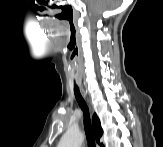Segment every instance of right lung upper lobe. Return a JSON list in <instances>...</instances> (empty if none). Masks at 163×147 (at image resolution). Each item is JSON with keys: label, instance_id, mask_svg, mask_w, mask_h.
<instances>
[{"label": "right lung upper lobe", "instance_id": "right-lung-upper-lobe-1", "mask_svg": "<svg viewBox=\"0 0 163 147\" xmlns=\"http://www.w3.org/2000/svg\"><path fill=\"white\" fill-rule=\"evenodd\" d=\"M93 126H94L95 138L99 143V140L103 134V130L101 128L100 120L96 114L93 115Z\"/></svg>", "mask_w": 163, "mask_h": 147}]
</instances>
